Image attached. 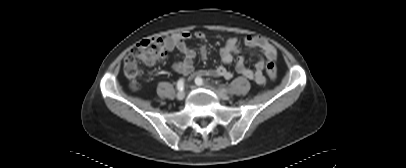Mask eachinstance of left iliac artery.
I'll return each mask as SVG.
<instances>
[{
  "instance_id": "1",
  "label": "left iliac artery",
  "mask_w": 406,
  "mask_h": 168,
  "mask_svg": "<svg viewBox=\"0 0 406 168\" xmlns=\"http://www.w3.org/2000/svg\"><path fill=\"white\" fill-rule=\"evenodd\" d=\"M195 83H196L197 85H202V84H203V79H202L201 77H197V78L195 79ZM222 91L226 92L225 89H222Z\"/></svg>"
}]
</instances>
